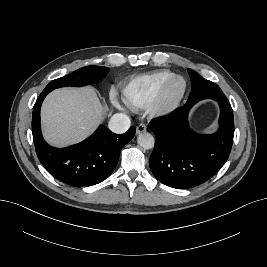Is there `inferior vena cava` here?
I'll use <instances>...</instances> for the list:
<instances>
[{
    "instance_id": "obj_1",
    "label": "inferior vena cava",
    "mask_w": 267,
    "mask_h": 267,
    "mask_svg": "<svg viewBox=\"0 0 267 267\" xmlns=\"http://www.w3.org/2000/svg\"><path fill=\"white\" fill-rule=\"evenodd\" d=\"M109 129L116 133H125L130 127V119L127 115L122 113L114 114L109 121Z\"/></svg>"
}]
</instances>
